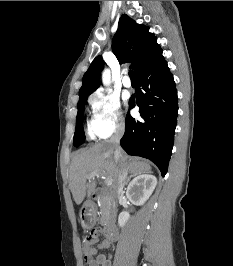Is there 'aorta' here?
Returning a JSON list of instances; mask_svg holds the SVG:
<instances>
[{
	"mask_svg": "<svg viewBox=\"0 0 233 266\" xmlns=\"http://www.w3.org/2000/svg\"><path fill=\"white\" fill-rule=\"evenodd\" d=\"M102 82L104 85L108 86L111 83V75L109 70H104L102 73Z\"/></svg>",
	"mask_w": 233,
	"mask_h": 266,
	"instance_id": "1",
	"label": "aorta"
}]
</instances>
